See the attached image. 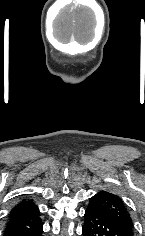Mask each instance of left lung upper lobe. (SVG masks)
Wrapping results in <instances>:
<instances>
[{
  "mask_svg": "<svg viewBox=\"0 0 145 236\" xmlns=\"http://www.w3.org/2000/svg\"><path fill=\"white\" fill-rule=\"evenodd\" d=\"M88 208L112 219L133 234V222L130 214L122 199L117 195L100 191L90 199Z\"/></svg>",
  "mask_w": 145,
  "mask_h": 236,
  "instance_id": "left-lung-upper-lobe-1",
  "label": "left lung upper lobe"
}]
</instances>
